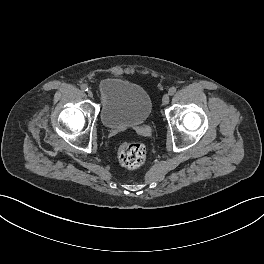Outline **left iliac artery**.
I'll use <instances>...</instances> for the list:
<instances>
[{"label":"left iliac artery","instance_id":"obj_1","mask_svg":"<svg viewBox=\"0 0 264 264\" xmlns=\"http://www.w3.org/2000/svg\"><path fill=\"white\" fill-rule=\"evenodd\" d=\"M176 93V88L175 87H171L170 89H169V94L170 95H174Z\"/></svg>","mask_w":264,"mask_h":264}]
</instances>
